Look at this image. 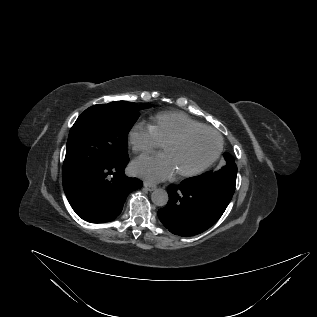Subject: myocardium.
I'll use <instances>...</instances> for the list:
<instances>
[{
    "instance_id": "f54148a6",
    "label": "myocardium",
    "mask_w": 317,
    "mask_h": 317,
    "mask_svg": "<svg viewBox=\"0 0 317 317\" xmlns=\"http://www.w3.org/2000/svg\"><path fill=\"white\" fill-rule=\"evenodd\" d=\"M200 132H209V133L214 134L218 138V147H217L216 151L214 152V154L205 163H203L199 167H197L193 170H190V171L176 173L177 176L180 178H186V177H192V176L199 175V174L203 173L205 170H207L209 167H211L216 162V160L219 158V156L223 150V146H224L223 137L221 136V134L217 130H215L211 127L204 126V127H199V128L186 129V130L180 132L179 134H177L176 136L170 138L162 145V148L165 149L168 146H172V145H176V144L181 143L182 141H184L186 138H188L192 134L200 133Z\"/></svg>"
}]
</instances>
